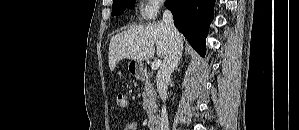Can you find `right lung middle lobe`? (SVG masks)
<instances>
[{
    "label": "right lung middle lobe",
    "mask_w": 299,
    "mask_h": 130,
    "mask_svg": "<svg viewBox=\"0 0 299 130\" xmlns=\"http://www.w3.org/2000/svg\"><path fill=\"white\" fill-rule=\"evenodd\" d=\"M136 0H115L112 5V16L122 14L127 7H133Z\"/></svg>",
    "instance_id": "obj_1"
}]
</instances>
